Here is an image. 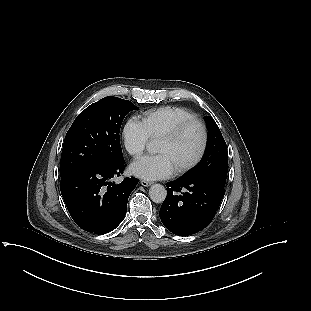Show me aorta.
Masks as SVG:
<instances>
[{
	"mask_svg": "<svg viewBox=\"0 0 311 311\" xmlns=\"http://www.w3.org/2000/svg\"><path fill=\"white\" fill-rule=\"evenodd\" d=\"M150 152H155L154 145L149 143L147 146ZM167 196L165 187L161 184H153L149 189V197L155 203H162Z\"/></svg>",
	"mask_w": 311,
	"mask_h": 311,
	"instance_id": "1",
	"label": "aorta"
}]
</instances>
